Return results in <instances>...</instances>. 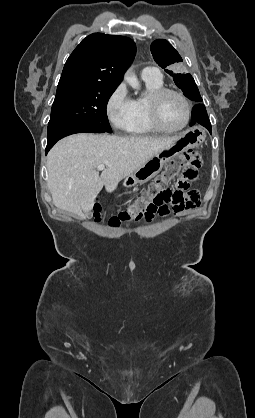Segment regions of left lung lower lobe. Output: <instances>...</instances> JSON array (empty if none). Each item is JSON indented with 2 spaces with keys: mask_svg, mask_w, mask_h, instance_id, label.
<instances>
[{
  "mask_svg": "<svg viewBox=\"0 0 255 418\" xmlns=\"http://www.w3.org/2000/svg\"><path fill=\"white\" fill-rule=\"evenodd\" d=\"M201 124L212 133L211 123L207 115V111L203 104H197L192 109L191 126L194 124Z\"/></svg>",
  "mask_w": 255,
  "mask_h": 418,
  "instance_id": "0a47b994",
  "label": "left lung lower lobe"
}]
</instances>
